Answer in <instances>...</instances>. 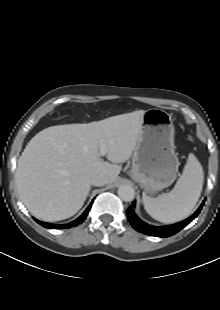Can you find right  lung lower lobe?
<instances>
[{
	"label": "right lung lower lobe",
	"mask_w": 220,
	"mask_h": 310,
	"mask_svg": "<svg viewBox=\"0 0 220 310\" xmlns=\"http://www.w3.org/2000/svg\"><path fill=\"white\" fill-rule=\"evenodd\" d=\"M92 203H93V201L90 203V205L86 208L84 213L79 218H77L76 220H74L73 222H70L68 224L56 225V224L41 222V221H38L36 219L35 220L40 225H42L43 227L48 228V229H65V228L75 227L78 224H81L86 219V216L88 215V212L92 206Z\"/></svg>",
	"instance_id": "1"
}]
</instances>
